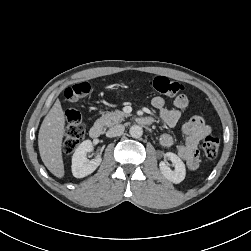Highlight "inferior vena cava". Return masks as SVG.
Returning <instances> with one entry per match:
<instances>
[{
    "label": "inferior vena cava",
    "instance_id": "602c4592",
    "mask_svg": "<svg viewBox=\"0 0 251 251\" xmlns=\"http://www.w3.org/2000/svg\"><path fill=\"white\" fill-rule=\"evenodd\" d=\"M124 129H125V128H124V126H123L122 124H117V125L111 127V128L107 131L106 135H107L108 137L120 136V135L123 134Z\"/></svg>",
    "mask_w": 251,
    "mask_h": 251
}]
</instances>
